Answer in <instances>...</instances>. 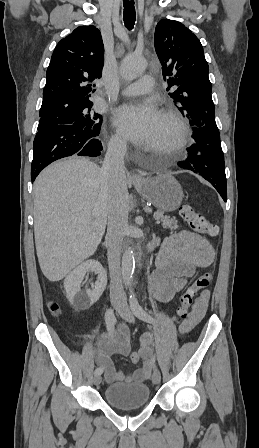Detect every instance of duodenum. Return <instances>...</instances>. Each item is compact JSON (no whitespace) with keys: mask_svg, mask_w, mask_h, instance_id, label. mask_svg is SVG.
Instances as JSON below:
<instances>
[{"mask_svg":"<svg viewBox=\"0 0 259 448\" xmlns=\"http://www.w3.org/2000/svg\"><path fill=\"white\" fill-rule=\"evenodd\" d=\"M154 248V244H149L147 247V251H151Z\"/></svg>","mask_w":259,"mask_h":448,"instance_id":"obj_1","label":"duodenum"}]
</instances>
